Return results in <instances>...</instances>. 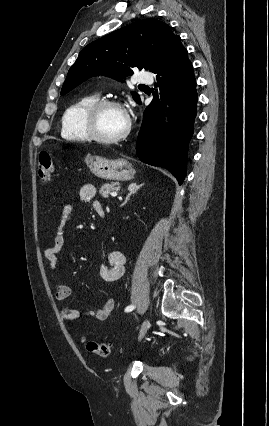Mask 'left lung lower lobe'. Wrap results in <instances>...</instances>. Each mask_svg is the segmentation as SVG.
I'll return each mask as SVG.
<instances>
[{
	"mask_svg": "<svg viewBox=\"0 0 269 426\" xmlns=\"http://www.w3.org/2000/svg\"><path fill=\"white\" fill-rule=\"evenodd\" d=\"M150 72L156 74L158 89L144 111L136 152L142 162L168 169L182 184L198 98L193 66L179 36ZM166 101L171 116L168 135L164 134Z\"/></svg>",
	"mask_w": 269,
	"mask_h": 426,
	"instance_id": "left-lung-lower-lobe-1",
	"label": "left lung lower lobe"
}]
</instances>
